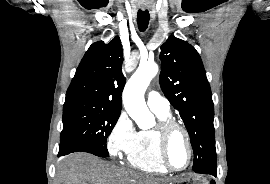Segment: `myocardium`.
<instances>
[{"mask_svg": "<svg viewBox=\"0 0 270 184\" xmlns=\"http://www.w3.org/2000/svg\"><path fill=\"white\" fill-rule=\"evenodd\" d=\"M175 131H180L186 140V145L188 149V161L186 165L182 168H176L171 165L168 159V146H169V141L172 136V134ZM155 133L157 136V145H158V153H159V158L162 163V165L168 170L172 172H182L188 169L192 163L193 159V147H192V142L191 138L189 135V132L187 129L177 122L174 119L167 118L164 120H160L158 125L155 128Z\"/></svg>", "mask_w": 270, "mask_h": 184, "instance_id": "obj_1", "label": "myocardium"}]
</instances>
